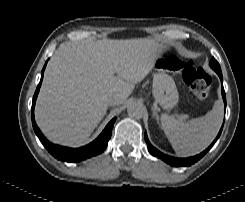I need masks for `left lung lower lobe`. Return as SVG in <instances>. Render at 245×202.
Listing matches in <instances>:
<instances>
[{
    "label": "left lung lower lobe",
    "mask_w": 245,
    "mask_h": 202,
    "mask_svg": "<svg viewBox=\"0 0 245 202\" xmlns=\"http://www.w3.org/2000/svg\"><path fill=\"white\" fill-rule=\"evenodd\" d=\"M218 76L221 79V82H223L222 73H218ZM221 92H222V97H223V100H224V103H225V107H226V96H225V91H224V88H223V84H222V87H221ZM222 128H223V126H222ZM222 128L220 129L216 139L213 141V143L205 151H203L202 153H200V154H198L196 156L189 157V158H175V157H171V156L165 155L162 152L158 151L156 148H154L150 144L146 132H145V141L147 143L149 152L153 156H156V157L162 159L163 161H165L166 163H168V164H170L172 166H176V167L177 166H190V165L194 164L195 162H197L200 158H202L208 152V150L214 145V143L216 142V140L219 138V136L221 134Z\"/></svg>",
    "instance_id": "0a47b994"
}]
</instances>
